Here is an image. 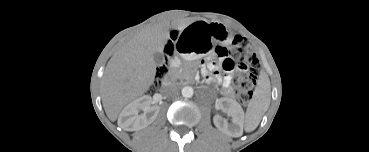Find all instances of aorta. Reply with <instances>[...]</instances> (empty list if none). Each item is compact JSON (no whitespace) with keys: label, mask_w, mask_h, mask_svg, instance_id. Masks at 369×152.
<instances>
[{"label":"aorta","mask_w":369,"mask_h":152,"mask_svg":"<svg viewBox=\"0 0 369 152\" xmlns=\"http://www.w3.org/2000/svg\"><path fill=\"white\" fill-rule=\"evenodd\" d=\"M183 97L190 98L193 95V88L190 86H186L182 89Z\"/></svg>","instance_id":"aorta-1"}]
</instances>
